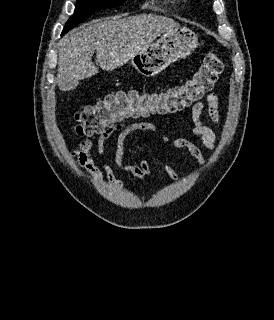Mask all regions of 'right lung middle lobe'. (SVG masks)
I'll return each instance as SVG.
<instances>
[{"mask_svg": "<svg viewBox=\"0 0 274 320\" xmlns=\"http://www.w3.org/2000/svg\"><path fill=\"white\" fill-rule=\"evenodd\" d=\"M126 0H77L74 15L67 21L62 35L67 33L74 26L84 22L95 11L117 7L122 5Z\"/></svg>", "mask_w": 274, "mask_h": 320, "instance_id": "dd1d6c3e", "label": "right lung middle lobe"}]
</instances>
